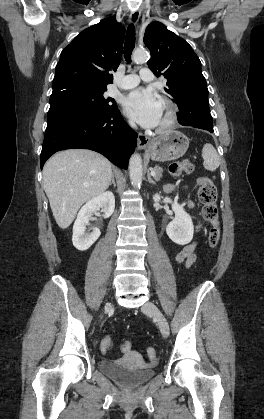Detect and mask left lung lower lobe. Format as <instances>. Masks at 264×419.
Instances as JSON below:
<instances>
[{
	"mask_svg": "<svg viewBox=\"0 0 264 419\" xmlns=\"http://www.w3.org/2000/svg\"><path fill=\"white\" fill-rule=\"evenodd\" d=\"M179 123L183 126L205 129L213 133L212 116L208 98L200 99L179 109Z\"/></svg>",
	"mask_w": 264,
	"mask_h": 419,
	"instance_id": "obj_1",
	"label": "left lung lower lobe"
}]
</instances>
